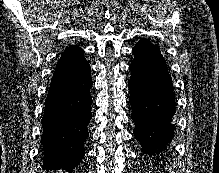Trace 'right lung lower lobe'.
<instances>
[{
	"instance_id": "1",
	"label": "right lung lower lobe",
	"mask_w": 219,
	"mask_h": 173,
	"mask_svg": "<svg viewBox=\"0 0 219 173\" xmlns=\"http://www.w3.org/2000/svg\"><path fill=\"white\" fill-rule=\"evenodd\" d=\"M90 65L81 55L57 63L41 123L43 168L72 171L82 161L87 125L92 118Z\"/></svg>"
}]
</instances>
